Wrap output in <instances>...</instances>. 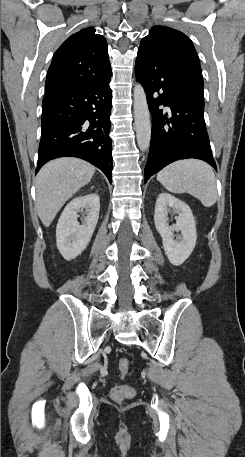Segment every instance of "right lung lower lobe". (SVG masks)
<instances>
[{"label": "right lung lower lobe", "instance_id": "1", "mask_svg": "<svg viewBox=\"0 0 245 457\" xmlns=\"http://www.w3.org/2000/svg\"><path fill=\"white\" fill-rule=\"evenodd\" d=\"M111 75L45 95L36 173L52 159L77 157L101 169L112 183Z\"/></svg>", "mask_w": 245, "mask_h": 457}]
</instances>
